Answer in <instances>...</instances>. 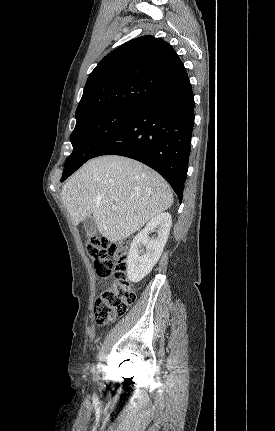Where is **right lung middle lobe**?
Returning a JSON list of instances; mask_svg holds the SVG:
<instances>
[{"label":"right lung middle lobe","mask_w":275,"mask_h":431,"mask_svg":"<svg viewBox=\"0 0 275 431\" xmlns=\"http://www.w3.org/2000/svg\"><path fill=\"white\" fill-rule=\"evenodd\" d=\"M139 107H113L77 119L71 134L73 152L67 158L61 181L91 159L135 115Z\"/></svg>","instance_id":"obj_1"}]
</instances>
